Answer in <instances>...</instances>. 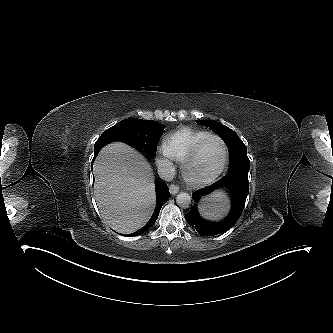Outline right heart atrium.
Masks as SVG:
<instances>
[{"label": "right heart atrium", "mask_w": 333, "mask_h": 333, "mask_svg": "<svg viewBox=\"0 0 333 333\" xmlns=\"http://www.w3.org/2000/svg\"><path fill=\"white\" fill-rule=\"evenodd\" d=\"M169 158H170V155L167 152L166 147L162 146L159 150V157H158L159 164L164 165V164L168 163Z\"/></svg>", "instance_id": "obj_1"}]
</instances>
